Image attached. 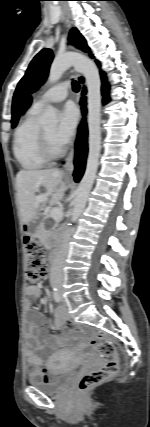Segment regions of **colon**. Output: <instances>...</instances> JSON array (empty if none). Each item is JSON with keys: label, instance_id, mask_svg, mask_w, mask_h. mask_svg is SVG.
<instances>
[{"label": "colon", "instance_id": "obj_1", "mask_svg": "<svg viewBox=\"0 0 150 427\" xmlns=\"http://www.w3.org/2000/svg\"><path fill=\"white\" fill-rule=\"evenodd\" d=\"M24 246L27 255L26 279L31 285L41 282L46 275V266L43 252L39 242L30 235L24 236ZM88 339L90 345L103 358V365L84 375L78 383V391L85 393L93 387L105 382L115 376L119 369L118 354L114 344L98 335H91L84 329L79 328Z\"/></svg>", "mask_w": 150, "mask_h": 427}]
</instances>
